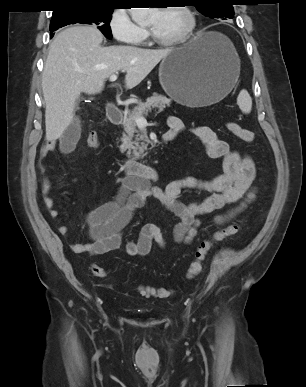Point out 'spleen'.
I'll return each instance as SVG.
<instances>
[{
  "label": "spleen",
  "instance_id": "3e777b00",
  "mask_svg": "<svg viewBox=\"0 0 306 387\" xmlns=\"http://www.w3.org/2000/svg\"><path fill=\"white\" fill-rule=\"evenodd\" d=\"M237 104L243 113L249 114L251 112L252 99L247 90L243 89L240 91L237 97Z\"/></svg>",
  "mask_w": 306,
  "mask_h": 387
}]
</instances>
